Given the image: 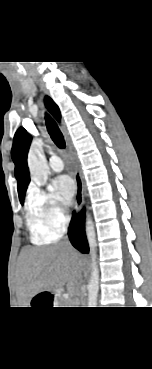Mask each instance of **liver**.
I'll return each instance as SVG.
<instances>
[{
	"label": "liver",
	"mask_w": 152,
	"mask_h": 369,
	"mask_svg": "<svg viewBox=\"0 0 152 369\" xmlns=\"http://www.w3.org/2000/svg\"><path fill=\"white\" fill-rule=\"evenodd\" d=\"M84 262L71 247L58 244L23 250L19 258L17 284L20 295L30 300L36 294L74 285L81 277Z\"/></svg>",
	"instance_id": "6515ba94"
}]
</instances>
